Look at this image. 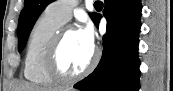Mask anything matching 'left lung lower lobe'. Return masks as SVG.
Segmentation results:
<instances>
[{"instance_id":"0a47b994","label":"left lung lower lobe","mask_w":173,"mask_h":91,"mask_svg":"<svg viewBox=\"0 0 173 91\" xmlns=\"http://www.w3.org/2000/svg\"><path fill=\"white\" fill-rule=\"evenodd\" d=\"M141 8L140 0H105L104 14L108 21L111 20L107 28L112 31L109 38L103 37V53L98 66L74 88L82 91L139 90ZM101 17L97 14L94 19L97 27Z\"/></svg>"}]
</instances>
